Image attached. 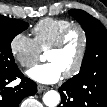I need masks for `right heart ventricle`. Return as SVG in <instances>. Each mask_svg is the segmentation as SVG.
Returning <instances> with one entry per match:
<instances>
[{"label": "right heart ventricle", "mask_w": 107, "mask_h": 107, "mask_svg": "<svg viewBox=\"0 0 107 107\" xmlns=\"http://www.w3.org/2000/svg\"><path fill=\"white\" fill-rule=\"evenodd\" d=\"M73 22L64 18H44L37 22L32 29L34 40L39 49L49 48L59 34Z\"/></svg>", "instance_id": "1"}]
</instances>
